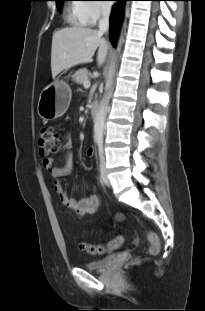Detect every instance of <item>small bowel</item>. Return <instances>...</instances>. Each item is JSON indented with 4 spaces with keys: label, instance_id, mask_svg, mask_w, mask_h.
<instances>
[{
    "label": "small bowel",
    "instance_id": "c3829d8e",
    "mask_svg": "<svg viewBox=\"0 0 205 311\" xmlns=\"http://www.w3.org/2000/svg\"><path fill=\"white\" fill-rule=\"evenodd\" d=\"M72 146L73 144L71 138L67 137L63 144V150L67 151L68 153L65 157V165L63 167H55L54 160L51 157L44 158L42 160V165L44 169L47 170L54 178L53 189L58 195L61 203L69 209L73 210L78 217H84L85 215L94 214L97 212L99 207V198L96 194H90L84 198H81L80 200H76L68 195L62 183V178L69 175L72 170L73 161L71 155L69 154ZM94 156L95 149H87L86 157L88 159H92Z\"/></svg>",
    "mask_w": 205,
    "mask_h": 311
}]
</instances>
